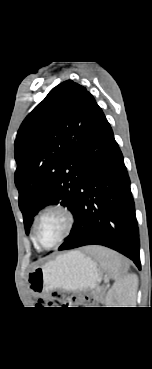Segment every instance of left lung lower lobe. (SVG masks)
Returning a JSON list of instances; mask_svg holds the SVG:
<instances>
[{"label":"left lung lower lobe","mask_w":152,"mask_h":369,"mask_svg":"<svg viewBox=\"0 0 152 369\" xmlns=\"http://www.w3.org/2000/svg\"><path fill=\"white\" fill-rule=\"evenodd\" d=\"M73 228L58 250L103 245L140 269L139 231L123 155L102 110L82 156Z\"/></svg>","instance_id":"1"}]
</instances>
